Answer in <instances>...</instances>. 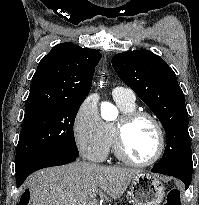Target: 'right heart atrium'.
Wrapping results in <instances>:
<instances>
[{
  "label": "right heart atrium",
  "instance_id": "d8ad5b80",
  "mask_svg": "<svg viewBox=\"0 0 199 205\" xmlns=\"http://www.w3.org/2000/svg\"><path fill=\"white\" fill-rule=\"evenodd\" d=\"M72 130L76 147L82 156L93 162L106 159L110 148L109 138L95 98L83 100L75 114Z\"/></svg>",
  "mask_w": 199,
  "mask_h": 205
}]
</instances>
